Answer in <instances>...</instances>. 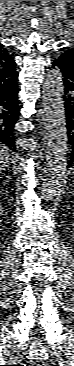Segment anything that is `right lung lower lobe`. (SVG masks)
<instances>
[{"mask_svg":"<svg viewBox=\"0 0 74 366\" xmlns=\"http://www.w3.org/2000/svg\"><path fill=\"white\" fill-rule=\"evenodd\" d=\"M17 78L10 84L0 85V144L17 152L15 124L19 115Z\"/></svg>","mask_w":74,"mask_h":366,"instance_id":"right-lung-lower-lobe-1","label":"right lung lower lobe"}]
</instances>
